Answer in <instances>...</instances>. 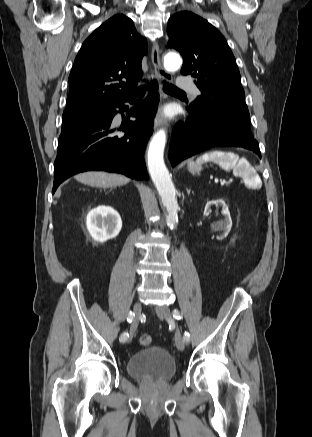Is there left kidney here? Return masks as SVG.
Returning <instances> with one entry per match:
<instances>
[{
    "instance_id": "1",
    "label": "left kidney",
    "mask_w": 312,
    "mask_h": 437,
    "mask_svg": "<svg viewBox=\"0 0 312 437\" xmlns=\"http://www.w3.org/2000/svg\"><path fill=\"white\" fill-rule=\"evenodd\" d=\"M212 205H221L222 213L224 215V219L212 224V228L214 231H222L226 236L229 233L232 226V220L230 217V212L228 210V207L226 206L225 202L221 199L208 201L204 209V214L206 216H208L209 213L211 212Z\"/></svg>"
}]
</instances>
